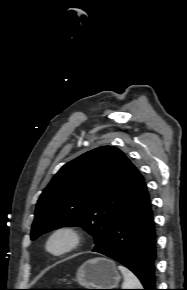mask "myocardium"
<instances>
[{
	"label": "myocardium",
	"instance_id": "obj_1",
	"mask_svg": "<svg viewBox=\"0 0 187 290\" xmlns=\"http://www.w3.org/2000/svg\"><path fill=\"white\" fill-rule=\"evenodd\" d=\"M57 240H61L62 245L59 248H54L53 244ZM82 241L83 234L77 227L61 225L49 233L45 242V249L50 255L60 257L77 249Z\"/></svg>",
	"mask_w": 187,
	"mask_h": 290
}]
</instances>
